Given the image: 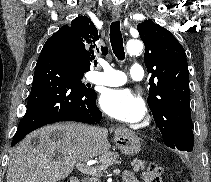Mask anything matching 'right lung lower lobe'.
I'll use <instances>...</instances> for the list:
<instances>
[{
  "label": "right lung lower lobe",
  "instance_id": "98d812e1",
  "mask_svg": "<svg viewBox=\"0 0 211 182\" xmlns=\"http://www.w3.org/2000/svg\"><path fill=\"white\" fill-rule=\"evenodd\" d=\"M69 39L51 36L39 55L27 110L21 119L12 146L25 135L59 121L95 123L102 113L96 106V93L87 90L78 77V65Z\"/></svg>",
  "mask_w": 211,
  "mask_h": 182
}]
</instances>
